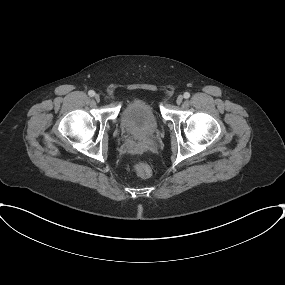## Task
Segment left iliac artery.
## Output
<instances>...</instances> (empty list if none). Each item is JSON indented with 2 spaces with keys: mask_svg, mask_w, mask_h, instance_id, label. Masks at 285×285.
<instances>
[{
  "mask_svg": "<svg viewBox=\"0 0 285 285\" xmlns=\"http://www.w3.org/2000/svg\"><path fill=\"white\" fill-rule=\"evenodd\" d=\"M189 97H190V93H189V92H185V93H184V98H185V99H188Z\"/></svg>",
  "mask_w": 285,
  "mask_h": 285,
  "instance_id": "1",
  "label": "left iliac artery"
}]
</instances>
